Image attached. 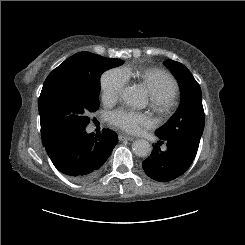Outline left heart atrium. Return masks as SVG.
<instances>
[{
    "label": "left heart atrium",
    "mask_w": 245,
    "mask_h": 245,
    "mask_svg": "<svg viewBox=\"0 0 245 245\" xmlns=\"http://www.w3.org/2000/svg\"><path fill=\"white\" fill-rule=\"evenodd\" d=\"M109 121L114 127L131 134L139 133L142 127L151 124L147 115L126 108L112 112Z\"/></svg>",
    "instance_id": "left-heart-atrium-1"
}]
</instances>
